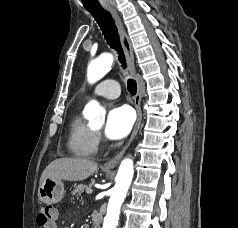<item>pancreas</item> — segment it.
<instances>
[{"label": "pancreas", "mask_w": 238, "mask_h": 228, "mask_svg": "<svg viewBox=\"0 0 238 228\" xmlns=\"http://www.w3.org/2000/svg\"><path fill=\"white\" fill-rule=\"evenodd\" d=\"M88 189H90V187H88L87 185H85V184H80V185H78V186L72 191L71 194L74 195V196H76V197H78V196L81 195V193L84 192V190H88Z\"/></svg>", "instance_id": "pancreas-1"}]
</instances>
